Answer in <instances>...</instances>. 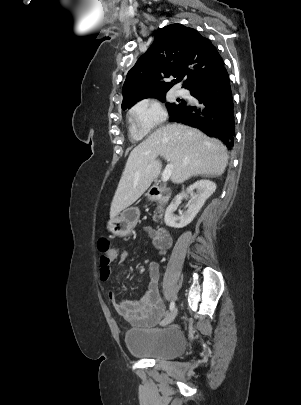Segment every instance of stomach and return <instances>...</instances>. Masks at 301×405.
<instances>
[{
	"label": "stomach",
	"instance_id": "obj_1",
	"mask_svg": "<svg viewBox=\"0 0 301 405\" xmlns=\"http://www.w3.org/2000/svg\"><path fill=\"white\" fill-rule=\"evenodd\" d=\"M138 217V211L135 209L124 211L108 223L107 229L115 236H127L135 227Z\"/></svg>",
	"mask_w": 301,
	"mask_h": 405
}]
</instances>
